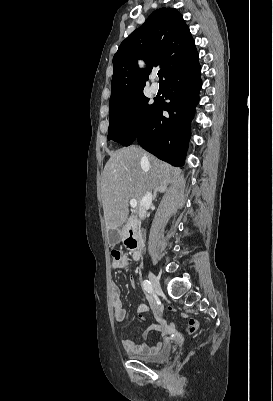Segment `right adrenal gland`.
Here are the masks:
<instances>
[{
	"label": "right adrenal gland",
	"instance_id": "right-adrenal-gland-1",
	"mask_svg": "<svg viewBox=\"0 0 273 401\" xmlns=\"http://www.w3.org/2000/svg\"><path fill=\"white\" fill-rule=\"evenodd\" d=\"M157 192H162V190H155V192H154V194H153V201H154V198H156Z\"/></svg>",
	"mask_w": 273,
	"mask_h": 401
}]
</instances>
